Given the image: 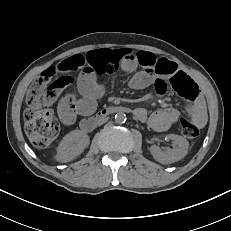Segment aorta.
<instances>
[{
	"instance_id": "1",
	"label": "aorta",
	"mask_w": 231,
	"mask_h": 231,
	"mask_svg": "<svg viewBox=\"0 0 231 231\" xmlns=\"http://www.w3.org/2000/svg\"><path fill=\"white\" fill-rule=\"evenodd\" d=\"M115 121L118 124L124 123L126 121V115L124 112H117L115 115Z\"/></svg>"
}]
</instances>
